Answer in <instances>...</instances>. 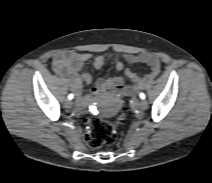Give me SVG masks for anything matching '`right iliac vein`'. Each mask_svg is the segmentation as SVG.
I'll return each instance as SVG.
<instances>
[{
  "instance_id": "1",
  "label": "right iliac vein",
  "mask_w": 212,
  "mask_h": 183,
  "mask_svg": "<svg viewBox=\"0 0 212 183\" xmlns=\"http://www.w3.org/2000/svg\"><path fill=\"white\" fill-rule=\"evenodd\" d=\"M72 106H73V103H72L71 100L68 99V100L65 101V107H66L67 109H71Z\"/></svg>"
}]
</instances>
